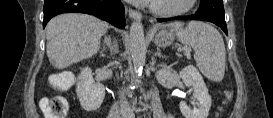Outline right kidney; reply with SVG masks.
Masks as SVG:
<instances>
[{"label": "right kidney", "instance_id": "ca27d5eb", "mask_svg": "<svg viewBox=\"0 0 273 118\" xmlns=\"http://www.w3.org/2000/svg\"><path fill=\"white\" fill-rule=\"evenodd\" d=\"M76 93L80 104L86 111L98 109L105 97V88L101 83H96L89 67L81 70L76 85Z\"/></svg>", "mask_w": 273, "mask_h": 118}]
</instances>
